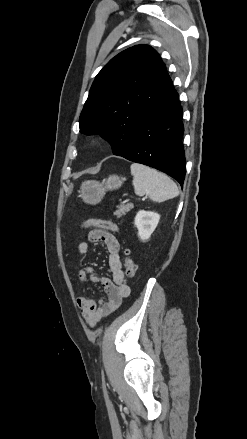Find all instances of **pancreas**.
<instances>
[{"label": "pancreas", "mask_w": 247, "mask_h": 439, "mask_svg": "<svg viewBox=\"0 0 247 439\" xmlns=\"http://www.w3.org/2000/svg\"><path fill=\"white\" fill-rule=\"evenodd\" d=\"M133 208V204H121L118 206V210L114 212L117 218H121L123 215L128 213Z\"/></svg>", "instance_id": "pancreas-1"}]
</instances>
